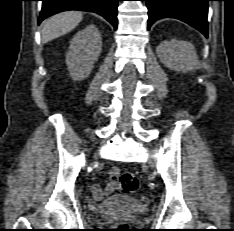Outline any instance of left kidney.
I'll use <instances>...</instances> for the list:
<instances>
[{"mask_svg": "<svg viewBox=\"0 0 234 231\" xmlns=\"http://www.w3.org/2000/svg\"><path fill=\"white\" fill-rule=\"evenodd\" d=\"M160 61L178 72L193 71L199 68L194 46L187 41L165 40L156 48Z\"/></svg>", "mask_w": 234, "mask_h": 231, "instance_id": "obj_1", "label": "left kidney"}]
</instances>
